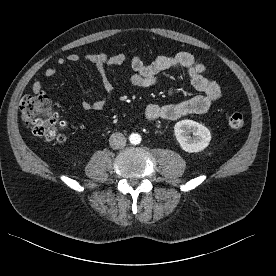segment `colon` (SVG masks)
<instances>
[{
	"label": "colon",
	"mask_w": 276,
	"mask_h": 276,
	"mask_svg": "<svg viewBox=\"0 0 276 276\" xmlns=\"http://www.w3.org/2000/svg\"><path fill=\"white\" fill-rule=\"evenodd\" d=\"M20 112L22 120L34 135L57 144L65 141L66 123L60 120L50 96L45 92L25 96L21 101ZM227 124L231 130L238 131L244 126V117L238 112L231 113Z\"/></svg>",
	"instance_id": "1"
}]
</instances>
